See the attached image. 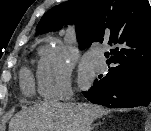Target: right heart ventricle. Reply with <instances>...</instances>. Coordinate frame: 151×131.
Returning <instances> with one entry per match:
<instances>
[{"instance_id": "right-heart-ventricle-1", "label": "right heart ventricle", "mask_w": 151, "mask_h": 131, "mask_svg": "<svg viewBox=\"0 0 151 131\" xmlns=\"http://www.w3.org/2000/svg\"><path fill=\"white\" fill-rule=\"evenodd\" d=\"M22 90L25 94H31L33 92V83L30 74L25 71L21 77Z\"/></svg>"}]
</instances>
